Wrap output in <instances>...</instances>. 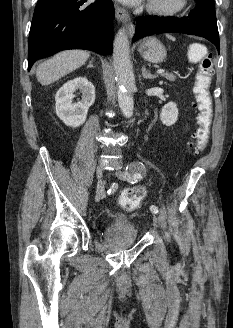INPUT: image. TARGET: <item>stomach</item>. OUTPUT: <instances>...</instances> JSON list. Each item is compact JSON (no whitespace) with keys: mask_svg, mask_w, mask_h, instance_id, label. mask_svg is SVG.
<instances>
[{"mask_svg":"<svg viewBox=\"0 0 233 328\" xmlns=\"http://www.w3.org/2000/svg\"><path fill=\"white\" fill-rule=\"evenodd\" d=\"M142 57L151 63H161L166 58L163 44L155 37L145 39L139 46Z\"/></svg>","mask_w":233,"mask_h":328,"instance_id":"stomach-1","label":"stomach"}]
</instances>
